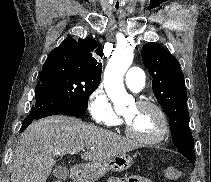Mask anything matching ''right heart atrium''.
I'll return each mask as SVG.
<instances>
[{"label": "right heart atrium", "instance_id": "d8ad5b80", "mask_svg": "<svg viewBox=\"0 0 211 182\" xmlns=\"http://www.w3.org/2000/svg\"><path fill=\"white\" fill-rule=\"evenodd\" d=\"M88 111L93 121L100 125L116 126L121 122L108 96L101 87L96 88L88 98Z\"/></svg>", "mask_w": 211, "mask_h": 182}]
</instances>
